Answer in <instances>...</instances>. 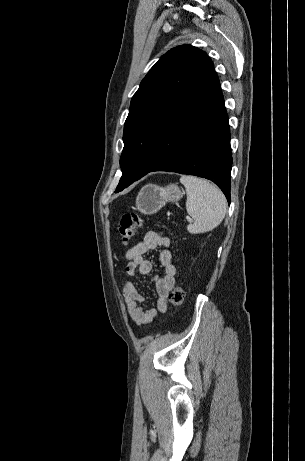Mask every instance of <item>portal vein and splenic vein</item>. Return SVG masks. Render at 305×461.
I'll return each mask as SVG.
<instances>
[{"mask_svg": "<svg viewBox=\"0 0 305 461\" xmlns=\"http://www.w3.org/2000/svg\"><path fill=\"white\" fill-rule=\"evenodd\" d=\"M186 219H187L188 221H192V219H191L190 217H186Z\"/></svg>", "mask_w": 305, "mask_h": 461, "instance_id": "1", "label": "portal vein and splenic vein"}]
</instances>
